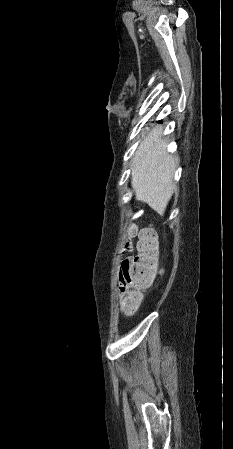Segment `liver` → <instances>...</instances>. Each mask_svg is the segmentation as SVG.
<instances>
[{
  "mask_svg": "<svg viewBox=\"0 0 233 449\" xmlns=\"http://www.w3.org/2000/svg\"><path fill=\"white\" fill-rule=\"evenodd\" d=\"M161 134L162 127L157 125L140 143L133 159L131 184L136 199L164 214L176 190L173 176L178 160L167 153V140Z\"/></svg>",
  "mask_w": 233,
  "mask_h": 449,
  "instance_id": "6515ba94",
  "label": "liver"
}]
</instances>
